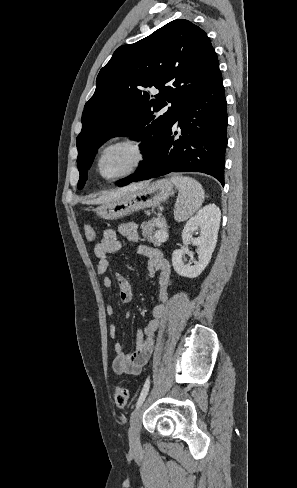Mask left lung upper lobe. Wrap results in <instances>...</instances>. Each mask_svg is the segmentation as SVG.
Segmentation results:
<instances>
[{
    "instance_id": "5c2ea615",
    "label": "left lung upper lobe",
    "mask_w": 297,
    "mask_h": 488,
    "mask_svg": "<svg viewBox=\"0 0 297 488\" xmlns=\"http://www.w3.org/2000/svg\"><path fill=\"white\" fill-rule=\"evenodd\" d=\"M219 73L210 39L188 20L171 21L150 36L116 49L100 70L95 93L83 110L82 131L76 139L78 188L85 185L99 145L110 137L141 140L147 160L135 173L143 169L182 109ZM167 103L171 106L159 115Z\"/></svg>"
}]
</instances>
